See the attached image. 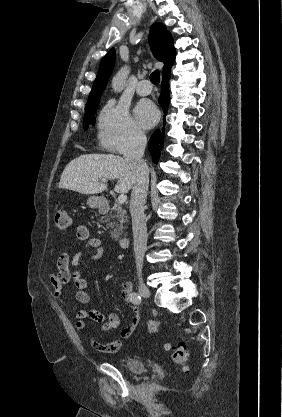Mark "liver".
<instances>
[{"label": "liver", "instance_id": "6515ba94", "mask_svg": "<svg viewBox=\"0 0 282 417\" xmlns=\"http://www.w3.org/2000/svg\"><path fill=\"white\" fill-rule=\"evenodd\" d=\"M102 178H118L115 192H129L134 182L132 166L117 154H81L65 166L59 188L96 194L107 190V184L99 182Z\"/></svg>", "mask_w": 282, "mask_h": 417}]
</instances>
